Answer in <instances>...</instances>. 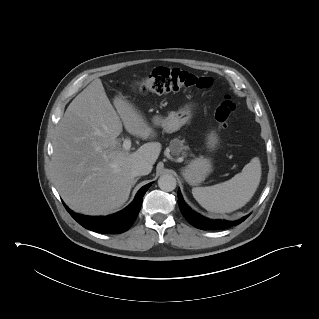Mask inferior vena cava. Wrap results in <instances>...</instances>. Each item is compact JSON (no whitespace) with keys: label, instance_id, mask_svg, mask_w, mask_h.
<instances>
[{"label":"inferior vena cava","instance_id":"obj_1","mask_svg":"<svg viewBox=\"0 0 319 319\" xmlns=\"http://www.w3.org/2000/svg\"><path fill=\"white\" fill-rule=\"evenodd\" d=\"M151 170L152 166L144 160L136 161L131 166V172L134 176L147 175Z\"/></svg>","mask_w":319,"mask_h":319}]
</instances>
